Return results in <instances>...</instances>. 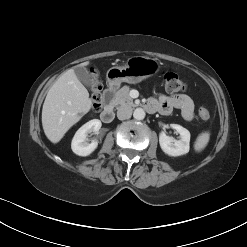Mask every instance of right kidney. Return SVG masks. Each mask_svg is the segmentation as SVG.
I'll return each instance as SVG.
<instances>
[{
    "label": "right kidney",
    "mask_w": 247,
    "mask_h": 247,
    "mask_svg": "<svg viewBox=\"0 0 247 247\" xmlns=\"http://www.w3.org/2000/svg\"><path fill=\"white\" fill-rule=\"evenodd\" d=\"M101 121L98 119L90 120L85 123L82 127H80L75 133L71 148L72 151L79 156H88L90 155L98 146V142L96 139L92 140L89 143L88 134L95 133L98 134L101 128Z\"/></svg>",
    "instance_id": "1"
}]
</instances>
